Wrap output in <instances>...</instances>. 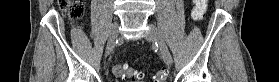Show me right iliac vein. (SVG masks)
I'll return each instance as SVG.
<instances>
[{
	"label": "right iliac vein",
	"mask_w": 279,
	"mask_h": 82,
	"mask_svg": "<svg viewBox=\"0 0 279 82\" xmlns=\"http://www.w3.org/2000/svg\"><path fill=\"white\" fill-rule=\"evenodd\" d=\"M117 38H118V24L114 23V25L112 26L109 32V39L106 47L108 53L113 50Z\"/></svg>",
	"instance_id": "obj_1"
}]
</instances>
